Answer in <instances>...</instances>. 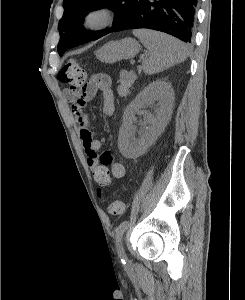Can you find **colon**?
<instances>
[{
    "label": "colon",
    "mask_w": 245,
    "mask_h": 300,
    "mask_svg": "<svg viewBox=\"0 0 245 300\" xmlns=\"http://www.w3.org/2000/svg\"><path fill=\"white\" fill-rule=\"evenodd\" d=\"M86 78L87 75L85 70L76 60L72 59L68 61L60 69L58 79L60 82L68 85V87L64 90V96L68 101L74 102L78 98L86 82ZM124 210L125 203L121 199L113 201L108 206L109 213L113 215H120L124 212Z\"/></svg>",
    "instance_id": "5ec220e1"
}]
</instances>
